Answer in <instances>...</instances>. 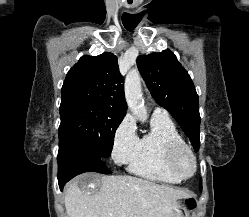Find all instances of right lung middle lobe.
I'll return each instance as SVG.
<instances>
[{
	"label": "right lung middle lobe",
	"mask_w": 249,
	"mask_h": 217,
	"mask_svg": "<svg viewBox=\"0 0 249 217\" xmlns=\"http://www.w3.org/2000/svg\"><path fill=\"white\" fill-rule=\"evenodd\" d=\"M124 116L123 112L90 100L61 99L59 140H73L107 159Z\"/></svg>",
	"instance_id": "1"
}]
</instances>
